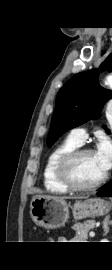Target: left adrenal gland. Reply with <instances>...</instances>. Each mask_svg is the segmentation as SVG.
<instances>
[{
  "label": "left adrenal gland",
  "instance_id": "left-adrenal-gland-1",
  "mask_svg": "<svg viewBox=\"0 0 112 270\" xmlns=\"http://www.w3.org/2000/svg\"><path fill=\"white\" fill-rule=\"evenodd\" d=\"M109 219L110 215H107L103 221L104 235H107V233L109 232V225L112 224V221H110Z\"/></svg>",
  "mask_w": 112,
  "mask_h": 270
}]
</instances>
